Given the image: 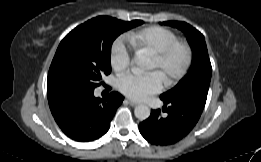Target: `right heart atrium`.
I'll use <instances>...</instances> for the list:
<instances>
[{"label": "right heart atrium", "mask_w": 261, "mask_h": 162, "mask_svg": "<svg viewBox=\"0 0 261 162\" xmlns=\"http://www.w3.org/2000/svg\"><path fill=\"white\" fill-rule=\"evenodd\" d=\"M131 59L123 40L116 41L110 51V64L117 73H122L130 66Z\"/></svg>", "instance_id": "1"}]
</instances>
